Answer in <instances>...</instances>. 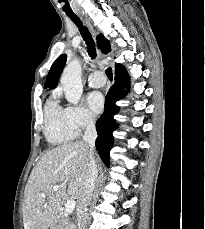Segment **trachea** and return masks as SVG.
Listing matches in <instances>:
<instances>
[{"mask_svg": "<svg viewBox=\"0 0 205 229\" xmlns=\"http://www.w3.org/2000/svg\"><path fill=\"white\" fill-rule=\"evenodd\" d=\"M68 17L79 27L80 33L84 41L86 42L89 55L92 59H94L96 57L95 45H94L92 36L89 33L88 29L85 26H82L80 19L76 15L68 14ZM105 73L109 79L113 77L112 68H107Z\"/></svg>", "mask_w": 205, "mask_h": 229, "instance_id": "obj_1", "label": "trachea"}]
</instances>
